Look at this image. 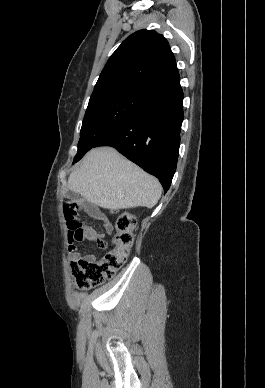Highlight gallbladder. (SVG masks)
Wrapping results in <instances>:
<instances>
[{"label":"gallbladder","mask_w":265,"mask_h":388,"mask_svg":"<svg viewBox=\"0 0 265 388\" xmlns=\"http://www.w3.org/2000/svg\"><path fill=\"white\" fill-rule=\"evenodd\" d=\"M65 198H68L71 202H82L81 196H79V194H75V192H67V194H65Z\"/></svg>","instance_id":"obj_1"}]
</instances>
